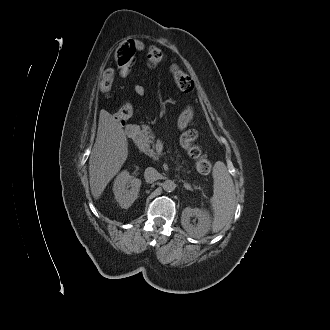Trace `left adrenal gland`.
I'll list each match as a JSON object with an SVG mask.
<instances>
[{
  "instance_id": "1",
  "label": "left adrenal gland",
  "mask_w": 330,
  "mask_h": 330,
  "mask_svg": "<svg viewBox=\"0 0 330 330\" xmlns=\"http://www.w3.org/2000/svg\"><path fill=\"white\" fill-rule=\"evenodd\" d=\"M184 187H185L187 190H191V191H192V188H191L188 184L184 183Z\"/></svg>"
}]
</instances>
